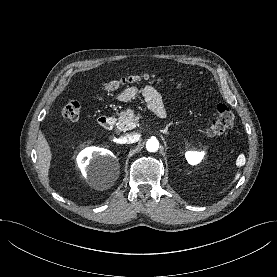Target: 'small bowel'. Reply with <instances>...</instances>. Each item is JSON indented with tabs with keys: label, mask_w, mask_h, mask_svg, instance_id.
<instances>
[{
	"label": "small bowel",
	"mask_w": 277,
	"mask_h": 277,
	"mask_svg": "<svg viewBox=\"0 0 277 277\" xmlns=\"http://www.w3.org/2000/svg\"><path fill=\"white\" fill-rule=\"evenodd\" d=\"M137 94H141L148 104L149 109L159 117L166 115V109L163 104L162 98L158 91L150 86L136 87L131 86L120 92L116 99L119 101H129L133 99Z\"/></svg>",
	"instance_id": "obj_1"
}]
</instances>
